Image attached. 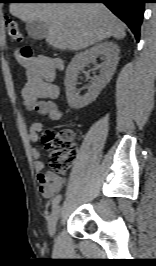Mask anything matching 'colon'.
<instances>
[{"label":"colon","instance_id":"1","mask_svg":"<svg viewBox=\"0 0 156 266\" xmlns=\"http://www.w3.org/2000/svg\"><path fill=\"white\" fill-rule=\"evenodd\" d=\"M5 29L8 38L19 42L22 33L18 23L12 18L5 19ZM21 57L31 59L33 50L26 46L21 51ZM74 132L71 129H63L58 132L47 130L43 136V142L49 151V166L55 172H65L73 164L77 148L73 141Z\"/></svg>","mask_w":156,"mask_h":266}]
</instances>
